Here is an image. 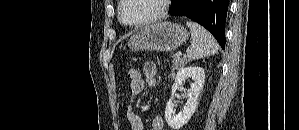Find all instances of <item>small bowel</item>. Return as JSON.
I'll list each match as a JSON object with an SVG mask.
<instances>
[{
	"label": "small bowel",
	"instance_id": "obj_1",
	"mask_svg": "<svg viewBox=\"0 0 299 130\" xmlns=\"http://www.w3.org/2000/svg\"><path fill=\"white\" fill-rule=\"evenodd\" d=\"M142 72L143 77L141 80L137 83L130 84V102H132L146 87L154 88L157 84V66L154 62H146L143 65ZM126 117L131 130H144L143 121L133 112L131 105L127 108ZM151 125L153 130H163L164 120L161 116L155 115L151 120Z\"/></svg>",
	"mask_w": 299,
	"mask_h": 130
}]
</instances>
